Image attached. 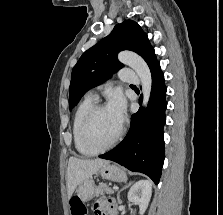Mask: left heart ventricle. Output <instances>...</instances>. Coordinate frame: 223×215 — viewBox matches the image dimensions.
I'll return each instance as SVG.
<instances>
[{"mask_svg":"<svg viewBox=\"0 0 223 215\" xmlns=\"http://www.w3.org/2000/svg\"><path fill=\"white\" fill-rule=\"evenodd\" d=\"M120 123L106 109H102L96 115L92 126V139L98 147L108 145L117 135Z\"/></svg>","mask_w":223,"mask_h":215,"instance_id":"1","label":"left heart ventricle"}]
</instances>
